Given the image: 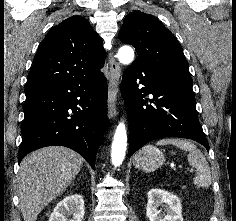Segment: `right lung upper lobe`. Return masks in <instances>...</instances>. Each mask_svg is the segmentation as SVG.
I'll return each instance as SVG.
<instances>
[{
	"instance_id": "1",
	"label": "right lung upper lobe",
	"mask_w": 236,
	"mask_h": 221,
	"mask_svg": "<svg viewBox=\"0 0 236 221\" xmlns=\"http://www.w3.org/2000/svg\"><path fill=\"white\" fill-rule=\"evenodd\" d=\"M105 50L99 35L81 16L53 27L34 57L25 91L69 78L91 76L104 65Z\"/></svg>"
}]
</instances>
